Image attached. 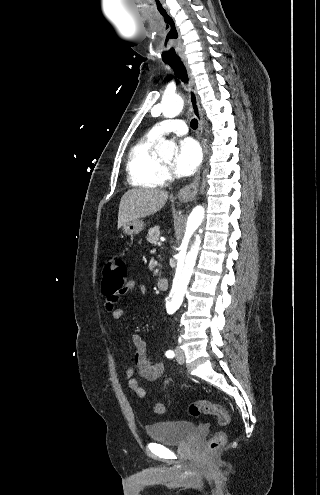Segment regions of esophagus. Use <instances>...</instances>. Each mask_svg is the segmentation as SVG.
<instances>
[{
	"mask_svg": "<svg viewBox=\"0 0 320 495\" xmlns=\"http://www.w3.org/2000/svg\"><path fill=\"white\" fill-rule=\"evenodd\" d=\"M182 62L186 68L188 78H189V84H188L189 104H190V108H191L193 115L198 120L197 136H198V139L201 143V146L203 149V154L205 155L206 154V148H205L204 141L202 138L203 119H202V115H201V111H200V105H199V100H198V95H197V90H196V84H195L192 70L190 68L188 61L186 59H183ZM199 183H200V176L198 175V176H196V178L194 179L193 182H191L190 184H188V185H186L180 189V191L178 193V198L182 201L192 200L198 192Z\"/></svg>",
	"mask_w": 320,
	"mask_h": 495,
	"instance_id": "1",
	"label": "esophagus"
}]
</instances>
